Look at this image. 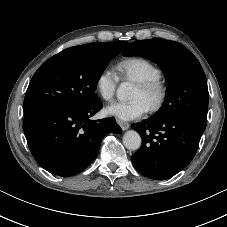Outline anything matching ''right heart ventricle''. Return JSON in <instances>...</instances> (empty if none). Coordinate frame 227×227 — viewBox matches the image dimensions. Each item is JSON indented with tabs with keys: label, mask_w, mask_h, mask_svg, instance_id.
<instances>
[{
	"label": "right heart ventricle",
	"mask_w": 227,
	"mask_h": 227,
	"mask_svg": "<svg viewBox=\"0 0 227 227\" xmlns=\"http://www.w3.org/2000/svg\"><path fill=\"white\" fill-rule=\"evenodd\" d=\"M120 76L126 80L135 82L159 78L160 69L151 61L142 57H130L121 60L117 64Z\"/></svg>",
	"instance_id": "right-heart-ventricle-1"
}]
</instances>
